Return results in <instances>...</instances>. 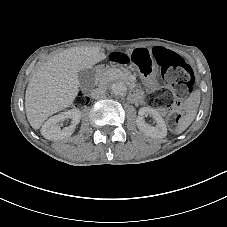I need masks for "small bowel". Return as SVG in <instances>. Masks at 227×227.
Listing matches in <instances>:
<instances>
[{
    "label": "small bowel",
    "mask_w": 227,
    "mask_h": 227,
    "mask_svg": "<svg viewBox=\"0 0 227 227\" xmlns=\"http://www.w3.org/2000/svg\"><path fill=\"white\" fill-rule=\"evenodd\" d=\"M134 51H139V52L147 55L150 59H152L154 49L138 48V49H135Z\"/></svg>",
    "instance_id": "1"
}]
</instances>
